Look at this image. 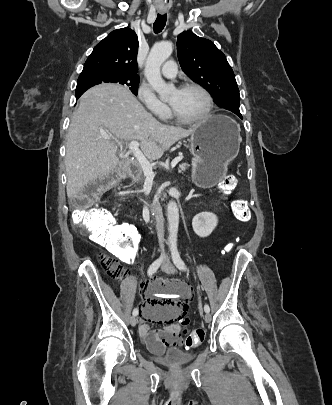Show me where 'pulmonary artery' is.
<instances>
[{"instance_id":"e3ab8cb5","label":"pulmonary artery","mask_w":332,"mask_h":405,"mask_svg":"<svg viewBox=\"0 0 332 405\" xmlns=\"http://www.w3.org/2000/svg\"><path fill=\"white\" fill-rule=\"evenodd\" d=\"M163 76L167 78H174L177 74V65L173 60L167 61L161 70Z\"/></svg>"}]
</instances>
